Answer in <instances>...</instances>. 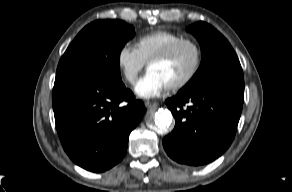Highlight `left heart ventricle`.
<instances>
[{
  "label": "left heart ventricle",
  "instance_id": "1",
  "mask_svg": "<svg viewBox=\"0 0 292 192\" xmlns=\"http://www.w3.org/2000/svg\"><path fill=\"white\" fill-rule=\"evenodd\" d=\"M195 52L192 47H182L172 58L167 61L154 63L148 70L159 75L170 86L182 80L193 68Z\"/></svg>",
  "mask_w": 292,
  "mask_h": 192
}]
</instances>
